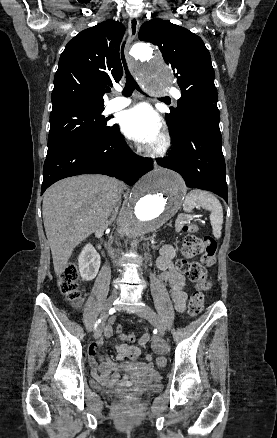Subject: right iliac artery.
Instances as JSON below:
<instances>
[{"mask_svg":"<svg viewBox=\"0 0 277 438\" xmlns=\"http://www.w3.org/2000/svg\"><path fill=\"white\" fill-rule=\"evenodd\" d=\"M100 319L96 322V324H95V328L97 327V325H98V323H100Z\"/></svg>","mask_w":277,"mask_h":438,"instance_id":"right-iliac-artery-1","label":"right iliac artery"}]
</instances>
